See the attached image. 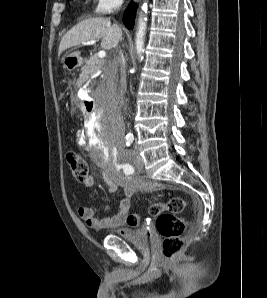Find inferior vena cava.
<instances>
[{
    "label": "inferior vena cava",
    "instance_id": "1",
    "mask_svg": "<svg viewBox=\"0 0 267 298\" xmlns=\"http://www.w3.org/2000/svg\"><path fill=\"white\" fill-rule=\"evenodd\" d=\"M123 3V0H116L115 4L117 7H120ZM114 61L120 63V84H121V90H120V95L122 96L123 99V94L126 91L127 87V81H126V70H125V65H124V56L121 50L117 49V56L114 58ZM122 102H124L122 100Z\"/></svg>",
    "mask_w": 267,
    "mask_h": 298
}]
</instances>
